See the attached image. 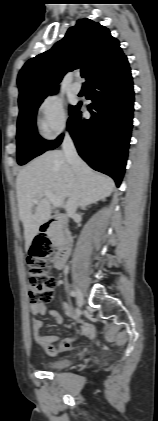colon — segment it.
Masks as SVG:
<instances>
[{
    "instance_id": "5ec220e1",
    "label": "colon",
    "mask_w": 158,
    "mask_h": 421,
    "mask_svg": "<svg viewBox=\"0 0 158 421\" xmlns=\"http://www.w3.org/2000/svg\"><path fill=\"white\" fill-rule=\"evenodd\" d=\"M51 253L48 238L38 236L27 259L28 296L31 304L47 303L53 298L56 281L48 272V258Z\"/></svg>"
}]
</instances>
